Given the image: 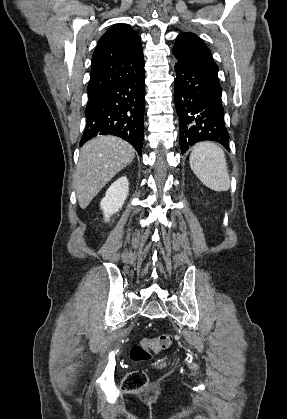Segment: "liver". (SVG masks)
<instances>
[{"label": "liver", "mask_w": 287, "mask_h": 419, "mask_svg": "<svg viewBox=\"0 0 287 419\" xmlns=\"http://www.w3.org/2000/svg\"><path fill=\"white\" fill-rule=\"evenodd\" d=\"M135 157L134 148L121 138L99 136L80 150L74 188L80 208L85 209L100 190Z\"/></svg>", "instance_id": "obj_1"}]
</instances>
